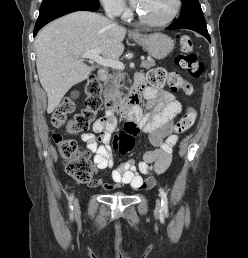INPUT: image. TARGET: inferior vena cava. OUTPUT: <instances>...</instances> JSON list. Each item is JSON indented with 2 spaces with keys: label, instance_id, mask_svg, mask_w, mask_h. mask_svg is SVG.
I'll use <instances>...</instances> for the list:
<instances>
[{
  "label": "inferior vena cava",
  "instance_id": "inferior-vena-cava-1",
  "mask_svg": "<svg viewBox=\"0 0 248 258\" xmlns=\"http://www.w3.org/2000/svg\"><path fill=\"white\" fill-rule=\"evenodd\" d=\"M106 15L110 18V19H114V13L109 10V9H106Z\"/></svg>",
  "mask_w": 248,
  "mask_h": 258
}]
</instances>
